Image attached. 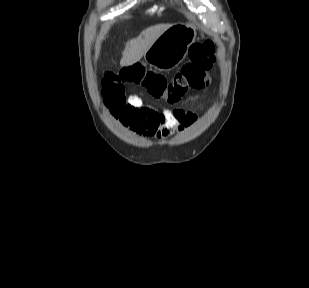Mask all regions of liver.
<instances>
[{"mask_svg":"<svg viewBox=\"0 0 309 288\" xmlns=\"http://www.w3.org/2000/svg\"><path fill=\"white\" fill-rule=\"evenodd\" d=\"M171 26V24L151 26L145 29L136 39L128 41L122 53L120 65L122 67L129 66L139 61L155 40Z\"/></svg>","mask_w":309,"mask_h":288,"instance_id":"6515ba94","label":"liver"}]
</instances>
